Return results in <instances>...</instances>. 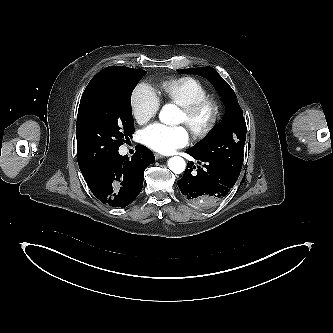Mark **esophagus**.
Masks as SVG:
<instances>
[{
	"mask_svg": "<svg viewBox=\"0 0 333 333\" xmlns=\"http://www.w3.org/2000/svg\"><path fill=\"white\" fill-rule=\"evenodd\" d=\"M155 159L158 160V159H161V158H164L165 156L159 154V153H155Z\"/></svg>",
	"mask_w": 333,
	"mask_h": 333,
	"instance_id": "obj_1",
	"label": "esophagus"
}]
</instances>
